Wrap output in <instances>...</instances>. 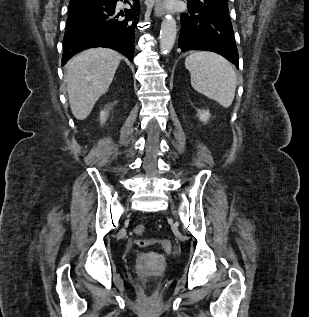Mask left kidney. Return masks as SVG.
<instances>
[{
  "label": "left kidney",
  "instance_id": "5707ae66",
  "mask_svg": "<svg viewBox=\"0 0 309 317\" xmlns=\"http://www.w3.org/2000/svg\"><path fill=\"white\" fill-rule=\"evenodd\" d=\"M210 118V113L209 111H205V110H202V111H199V119L203 122H207Z\"/></svg>",
  "mask_w": 309,
  "mask_h": 317
}]
</instances>
